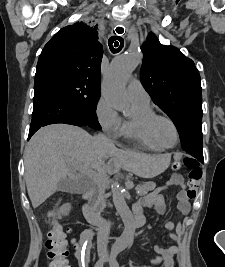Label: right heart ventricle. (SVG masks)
Returning a JSON list of instances; mask_svg holds the SVG:
<instances>
[{
  "label": "right heart ventricle",
  "instance_id": "1",
  "mask_svg": "<svg viewBox=\"0 0 225 267\" xmlns=\"http://www.w3.org/2000/svg\"><path fill=\"white\" fill-rule=\"evenodd\" d=\"M131 102L133 111L122 121L121 132L147 148L162 150L152 138L148 127L150 118L156 114L150 100H131Z\"/></svg>",
  "mask_w": 225,
  "mask_h": 267
}]
</instances>
